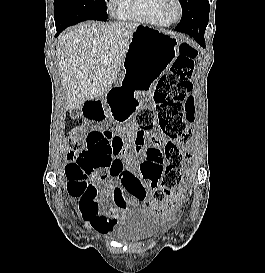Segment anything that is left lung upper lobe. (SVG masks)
Wrapping results in <instances>:
<instances>
[{"label":"left lung upper lobe","mask_w":265,"mask_h":273,"mask_svg":"<svg viewBox=\"0 0 265 273\" xmlns=\"http://www.w3.org/2000/svg\"><path fill=\"white\" fill-rule=\"evenodd\" d=\"M180 4L182 6V14L188 10L191 9L193 5L194 0H179ZM208 18H209V8L205 10V21L208 23Z\"/></svg>","instance_id":"1"}]
</instances>
